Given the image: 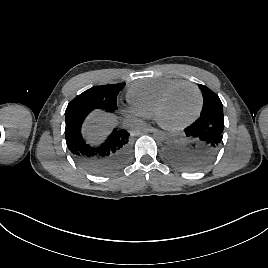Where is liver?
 <instances>
[{
  "instance_id": "6515ba94",
  "label": "liver",
  "mask_w": 268,
  "mask_h": 268,
  "mask_svg": "<svg viewBox=\"0 0 268 268\" xmlns=\"http://www.w3.org/2000/svg\"><path fill=\"white\" fill-rule=\"evenodd\" d=\"M86 128L88 134L92 137H99L107 133L108 128L115 124V121L104 116L99 112H95L89 118Z\"/></svg>"
}]
</instances>
